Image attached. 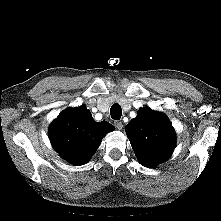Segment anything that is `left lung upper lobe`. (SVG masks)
<instances>
[{
    "instance_id": "obj_1",
    "label": "left lung upper lobe",
    "mask_w": 221,
    "mask_h": 221,
    "mask_svg": "<svg viewBox=\"0 0 221 221\" xmlns=\"http://www.w3.org/2000/svg\"><path fill=\"white\" fill-rule=\"evenodd\" d=\"M126 132L140 163L155 167L168 159L176 143L175 130L166 115L141 108L126 125Z\"/></svg>"
}]
</instances>
